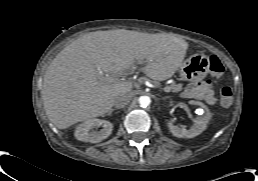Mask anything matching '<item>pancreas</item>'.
Here are the masks:
<instances>
[{
	"label": "pancreas",
	"mask_w": 258,
	"mask_h": 181,
	"mask_svg": "<svg viewBox=\"0 0 258 181\" xmlns=\"http://www.w3.org/2000/svg\"><path fill=\"white\" fill-rule=\"evenodd\" d=\"M168 88L170 89V91L177 93V92L182 91L183 85L182 84H175V83H173L170 86H168Z\"/></svg>",
	"instance_id": "pancreas-1"
}]
</instances>
